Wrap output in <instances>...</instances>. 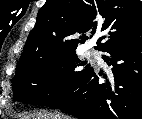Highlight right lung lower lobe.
Masks as SVG:
<instances>
[{
    "mask_svg": "<svg viewBox=\"0 0 142 119\" xmlns=\"http://www.w3.org/2000/svg\"><path fill=\"white\" fill-rule=\"evenodd\" d=\"M104 52L103 60L112 66L111 83H99L98 74L92 70L76 90L51 108L79 119H142V37Z\"/></svg>",
    "mask_w": 142,
    "mask_h": 119,
    "instance_id": "right-lung-lower-lobe-1",
    "label": "right lung lower lobe"
}]
</instances>
